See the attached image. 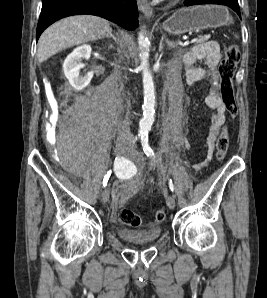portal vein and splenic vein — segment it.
Masks as SVG:
<instances>
[{
    "label": "portal vein and splenic vein",
    "mask_w": 267,
    "mask_h": 298,
    "mask_svg": "<svg viewBox=\"0 0 267 298\" xmlns=\"http://www.w3.org/2000/svg\"><path fill=\"white\" fill-rule=\"evenodd\" d=\"M196 41H197V39H193V40L190 41V43H194Z\"/></svg>",
    "instance_id": "obj_1"
}]
</instances>
